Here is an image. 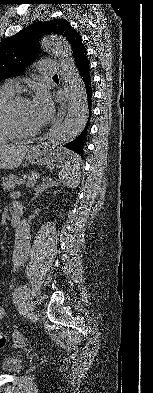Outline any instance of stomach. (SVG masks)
I'll return each instance as SVG.
<instances>
[{"label": "stomach", "instance_id": "0dacf381", "mask_svg": "<svg viewBox=\"0 0 153 393\" xmlns=\"http://www.w3.org/2000/svg\"><path fill=\"white\" fill-rule=\"evenodd\" d=\"M54 158V153L41 142L35 143L30 147L26 146L24 160L31 165L41 166L52 161Z\"/></svg>", "mask_w": 153, "mask_h": 393}]
</instances>
